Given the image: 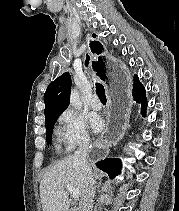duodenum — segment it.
I'll list each match as a JSON object with an SVG mask.
<instances>
[{
    "label": "duodenum",
    "instance_id": "obj_1",
    "mask_svg": "<svg viewBox=\"0 0 179 211\" xmlns=\"http://www.w3.org/2000/svg\"><path fill=\"white\" fill-rule=\"evenodd\" d=\"M70 211H77L76 209H71Z\"/></svg>",
    "mask_w": 179,
    "mask_h": 211
}]
</instances>
